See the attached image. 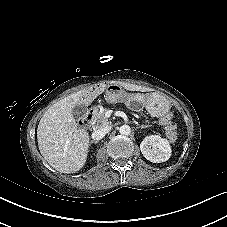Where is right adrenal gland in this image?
Masks as SVG:
<instances>
[{"label": "right adrenal gland", "instance_id": "obj_1", "mask_svg": "<svg viewBox=\"0 0 227 227\" xmlns=\"http://www.w3.org/2000/svg\"><path fill=\"white\" fill-rule=\"evenodd\" d=\"M90 143H91V144H92V143L97 144L98 141H93V140H92Z\"/></svg>", "mask_w": 227, "mask_h": 227}]
</instances>
